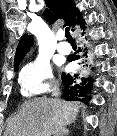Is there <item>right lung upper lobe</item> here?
<instances>
[{
  "label": "right lung upper lobe",
  "mask_w": 117,
  "mask_h": 136,
  "mask_svg": "<svg viewBox=\"0 0 117 136\" xmlns=\"http://www.w3.org/2000/svg\"><path fill=\"white\" fill-rule=\"evenodd\" d=\"M47 8L44 11V18L50 23L63 19L65 25L71 28L75 24L82 27L85 23L80 11L75 7L73 0H45ZM73 30V29H72ZM33 43L31 35H25L20 40L14 58V68L18 67Z\"/></svg>",
  "instance_id": "1"
}]
</instances>
